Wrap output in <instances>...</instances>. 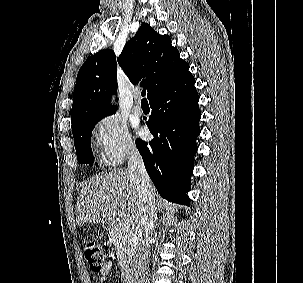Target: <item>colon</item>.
<instances>
[{
    "mask_svg": "<svg viewBox=\"0 0 303 283\" xmlns=\"http://www.w3.org/2000/svg\"><path fill=\"white\" fill-rule=\"evenodd\" d=\"M109 255L110 249L105 245L89 242L84 246V257L92 272H102Z\"/></svg>",
    "mask_w": 303,
    "mask_h": 283,
    "instance_id": "obj_1",
    "label": "colon"
}]
</instances>
